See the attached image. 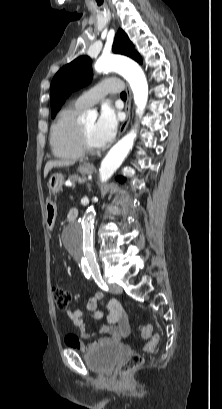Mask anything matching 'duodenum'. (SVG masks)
Wrapping results in <instances>:
<instances>
[{
	"label": "duodenum",
	"instance_id": "obj_1",
	"mask_svg": "<svg viewBox=\"0 0 222 409\" xmlns=\"http://www.w3.org/2000/svg\"><path fill=\"white\" fill-rule=\"evenodd\" d=\"M77 218H78V210L75 208L71 209V211L68 214V220L70 222H74L77 220Z\"/></svg>",
	"mask_w": 222,
	"mask_h": 409
}]
</instances>
